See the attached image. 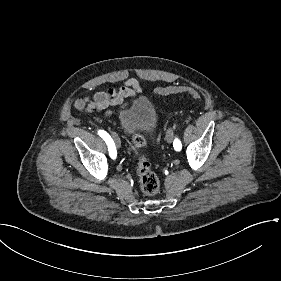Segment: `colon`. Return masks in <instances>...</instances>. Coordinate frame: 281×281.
I'll return each mask as SVG.
<instances>
[{"label": "colon", "mask_w": 281, "mask_h": 281, "mask_svg": "<svg viewBox=\"0 0 281 281\" xmlns=\"http://www.w3.org/2000/svg\"><path fill=\"white\" fill-rule=\"evenodd\" d=\"M180 91L181 93H188L194 98L199 99L200 95L195 92L193 88H188L187 86H181L180 88L177 85L170 86L169 88H157L156 93L162 95H169L170 93ZM136 145L138 147L143 146V140L137 139ZM137 174L139 176V184L141 191L147 196H154L160 190V181L157 174L152 170L151 165L148 161V158L145 154H140L139 163L137 166Z\"/></svg>", "instance_id": "colon-1"}]
</instances>
